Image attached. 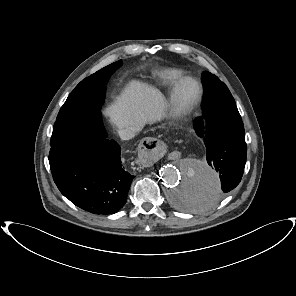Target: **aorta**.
<instances>
[{
  "mask_svg": "<svg viewBox=\"0 0 296 296\" xmlns=\"http://www.w3.org/2000/svg\"><path fill=\"white\" fill-rule=\"evenodd\" d=\"M160 180L170 204L182 212L205 213L216 207L221 197L218 175L206 163L189 159L176 168L164 166Z\"/></svg>",
  "mask_w": 296,
  "mask_h": 296,
  "instance_id": "obj_1",
  "label": "aorta"
}]
</instances>
